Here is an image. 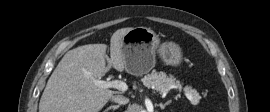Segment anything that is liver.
<instances>
[{
    "label": "liver",
    "instance_id": "6515ba94",
    "mask_svg": "<svg viewBox=\"0 0 270 112\" xmlns=\"http://www.w3.org/2000/svg\"><path fill=\"white\" fill-rule=\"evenodd\" d=\"M132 29L122 28L113 33L110 59L105 55L106 44H88L68 51L48 79L39 112H99L113 94H120L100 88L94 81L103 77L111 66L117 71L125 69L121 43Z\"/></svg>",
    "mask_w": 270,
    "mask_h": 112
}]
</instances>
